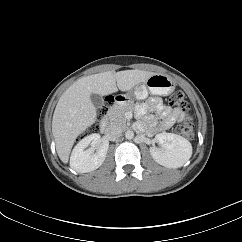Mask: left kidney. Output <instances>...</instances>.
<instances>
[{
  "label": "left kidney",
  "instance_id": "5707ae66",
  "mask_svg": "<svg viewBox=\"0 0 242 242\" xmlns=\"http://www.w3.org/2000/svg\"><path fill=\"white\" fill-rule=\"evenodd\" d=\"M161 148H150L153 159L167 168L183 166L192 155V145L184 137L173 133H160L156 136Z\"/></svg>",
  "mask_w": 242,
  "mask_h": 242
}]
</instances>
